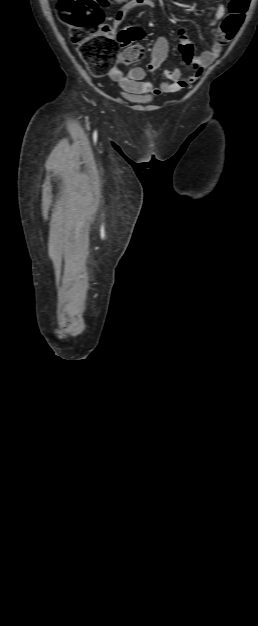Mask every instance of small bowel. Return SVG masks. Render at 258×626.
<instances>
[{"label": "small bowel", "mask_w": 258, "mask_h": 626, "mask_svg": "<svg viewBox=\"0 0 258 626\" xmlns=\"http://www.w3.org/2000/svg\"><path fill=\"white\" fill-rule=\"evenodd\" d=\"M153 0H127L112 18L113 26L107 27L104 33L113 38L117 34V27L123 22L127 14L141 6H153ZM226 9L220 4L216 8L214 18L211 25H215L225 16ZM179 52L184 62L193 69L190 76L184 77L178 68L166 69L163 71L167 81L155 87L152 83L144 81L145 77L157 70L165 61L169 43L165 37H159L153 48L150 62L146 67H134L128 73H123L121 68L113 64L107 71V75L113 81L117 82L120 87L133 94H153L160 95L163 93H174L185 88L189 83H193L201 75L202 71L212 64L221 51V44L215 41L210 50L204 51L199 55L194 53L193 44L190 41L185 29L178 30Z\"/></svg>", "instance_id": "c3829d8e"}]
</instances>
